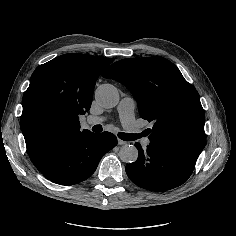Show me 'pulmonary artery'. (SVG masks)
Wrapping results in <instances>:
<instances>
[{
    "label": "pulmonary artery",
    "mask_w": 236,
    "mask_h": 236,
    "mask_svg": "<svg viewBox=\"0 0 236 236\" xmlns=\"http://www.w3.org/2000/svg\"><path fill=\"white\" fill-rule=\"evenodd\" d=\"M134 108L135 100L132 97H125L121 99L117 106V112L121 123L127 129H132L135 126V118L133 113ZM141 144L144 148H146L150 144V140L148 138H143Z\"/></svg>",
    "instance_id": "pulmonary-artery-1"
}]
</instances>
